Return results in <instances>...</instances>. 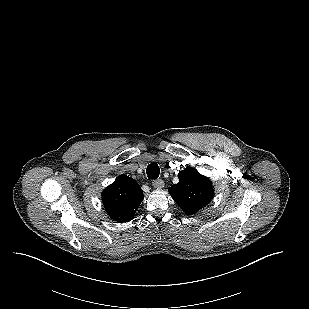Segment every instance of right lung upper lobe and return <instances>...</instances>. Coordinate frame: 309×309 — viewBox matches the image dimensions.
Here are the masks:
<instances>
[{
  "label": "right lung upper lobe",
  "instance_id": "1",
  "mask_svg": "<svg viewBox=\"0 0 309 309\" xmlns=\"http://www.w3.org/2000/svg\"><path fill=\"white\" fill-rule=\"evenodd\" d=\"M143 200V192L138 183L121 175L102 193L106 212L117 222H129Z\"/></svg>",
  "mask_w": 309,
  "mask_h": 309
}]
</instances>
